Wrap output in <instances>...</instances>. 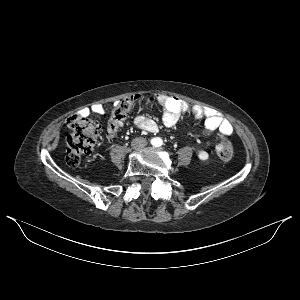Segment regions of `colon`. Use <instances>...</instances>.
Masks as SVG:
<instances>
[{
  "mask_svg": "<svg viewBox=\"0 0 300 300\" xmlns=\"http://www.w3.org/2000/svg\"><path fill=\"white\" fill-rule=\"evenodd\" d=\"M153 98L132 96L120 100L113 109L106 125V133L112 136L123 125L128 113L135 107H146L153 103ZM70 129L67 136L66 162L71 167H79L82 159L91 154L98 136V124L84 116L72 115L66 120ZM222 160L233 156V146L229 141H222L216 147Z\"/></svg>",
  "mask_w": 300,
  "mask_h": 300,
  "instance_id": "5ec220e1",
  "label": "colon"
}]
</instances>
